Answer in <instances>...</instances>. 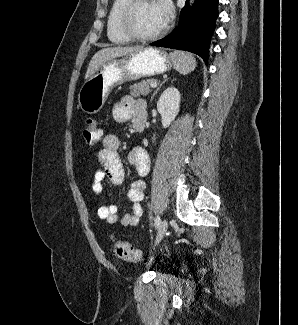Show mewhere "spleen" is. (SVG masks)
I'll return each instance as SVG.
<instances>
[{
    "label": "spleen",
    "mask_w": 298,
    "mask_h": 325,
    "mask_svg": "<svg viewBox=\"0 0 298 325\" xmlns=\"http://www.w3.org/2000/svg\"><path fill=\"white\" fill-rule=\"evenodd\" d=\"M170 56L173 60L174 68L181 72V74H188L191 70H194L196 66V60L190 52H181V50H174L170 52Z\"/></svg>",
    "instance_id": "3e777b00"
}]
</instances>
